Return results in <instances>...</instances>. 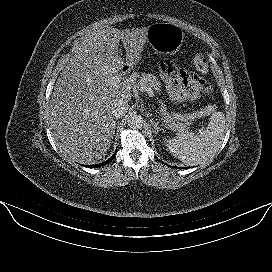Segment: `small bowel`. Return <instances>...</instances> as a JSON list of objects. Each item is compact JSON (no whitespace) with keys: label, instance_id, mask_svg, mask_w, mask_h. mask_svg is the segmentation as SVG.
Instances as JSON below:
<instances>
[{"label":"small bowel","instance_id":"c3829d8e","mask_svg":"<svg viewBox=\"0 0 272 272\" xmlns=\"http://www.w3.org/2000/svg\"><path fill=\"white\" fill-rule=\"evenodd\" d=\"M162 77L166 83L170 98L177 103L196 100L210 91V85L193 73L175 67L165 61L161 65Z\"/></svg>","mask_w":272,"mask_h":272}]
</instances>
